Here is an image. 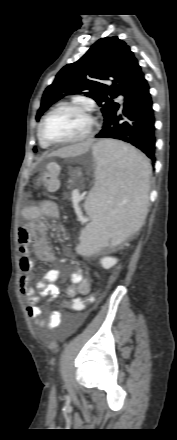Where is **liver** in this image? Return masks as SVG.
Instances as JSON below:
<instances>
[{
	"instance_id": "6515ba94",
	"label": "liver",
	"mask_w": 177,
	"mask_h": 440,
	"mask_svg": "<svg viewBox=\"0 0 177 440\" xmlns=\"http://www.w3.org/2000/svg\"><path fill=\"white\" fill-rule=\"evenodd\" d=\"M93 144L92 140H88L82 143H77L74 145L63 147L52 154L51 156H59V157H76L79 156L89 150L91 145Z\"/></svg>"
}]
</instances>
